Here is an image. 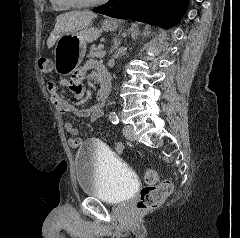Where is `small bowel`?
Wrapping results in <instances>:
<instances>
[{"mask_svg":"<svg viewBox=\"0 0 240 238\" xmlns=\"http://www.w3.org/2000/svg\"><path fill=\"white\" fill-rule=\"evenodd\" d=\"M91 68L97 69L100 73L105 72L102 66L96 61H90L80 71H77L72 79H62L60 85L64 88L70 89L75 98H82L85 94L84 85L81 82V77ZM47 90L50 94L52 103L56 106L60 113H72L78 117H90L92 121H96L104 114L103 106L105 101H99L89 108H78L69 101L62 98L58 91V87L54 81H49ZM65 130L69 133V145L72 148H78L82 144V139L78 135V129L71 122L64 124ZM128 148V143L115 144L116 154H125V149Z\"/></svg>","mask_w":240,"mask_h":238,"instance_id":"obj_1","label":"small bowel"}]
</instances>
